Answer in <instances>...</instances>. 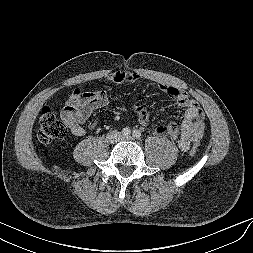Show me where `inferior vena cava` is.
<instances>
[{
  "instance_id": "inferior-vena-cava-1",
  "label": "inferior vena cava",
  "mask_w": 253,
  "mask_h": 253,
  "mask_svg": "<svg viewBox=\"0 0 253 253\" xmlns=\"http://www.w3.org/2000/svg\"><path fill=\"white\" fill-rule=\"evenodd\" d=\"M107 139L110 142H118L122 139V135L118 131H111L110 133L107 134Z\"/></svg>"
}]
</instances>
